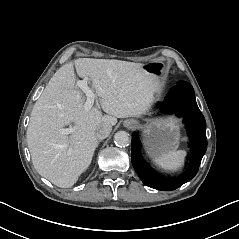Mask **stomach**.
<instances>
[{"label": "stomach", "instance_id": "obj_1", "mask_svg": "<svg viewBox=\"0 0 239 239\" xmlns=\"http://www.w3.org/2000/svg\"><path fill=\"white\" fill-rule=\"evenodd\" d=\"M148 73L155 74L162 78V72L146 70ZM179 121L173 117L168 119H157L145 125H138L142 130V142L146 153L152 159H157L163 154L175 151L180 140Z\"/></svg>", "mask_w": 239, "mask_h": 239}]
</instances>
